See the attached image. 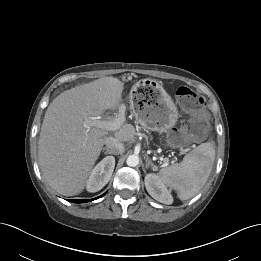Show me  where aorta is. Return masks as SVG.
I'll list each match as a JSON object with an SVG mask.
<instances>
[{
  "mask_svg": "<svg viewBox=\"0 0 261 261\" xmlns=\"http://www.w3.org/2000/svg\"><path fill=\"white\" fill-rule=\"evenodd\" d=\"M126 163L130 167H135L139 164V157L137 155L128 156Z\"/></svg>",
  "mask_w": 261,
  "mask_h": 261,
  "instance_id": "1",
  "label": "aorta"
}]
</instances>
